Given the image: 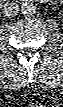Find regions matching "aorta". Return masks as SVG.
<instances>
[{"instance_id": "obj_1", "label": "aorta", "mask_w": 63, "mask_h": 107, "mask_svg": "<svg viewBox=\"0 0 63 107\" xmlns=\"http://www.w3.org/2000/svg\"><path fill=\"white\" fill-rule=\"evenodd\" d=\"M22 14L32 16L36 13V5L31 1H26L21 6Z\"/></svg>"}]
</instances>
